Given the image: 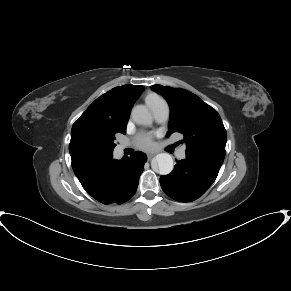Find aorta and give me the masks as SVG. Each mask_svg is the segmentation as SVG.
<instances>
[{"instance_id": "762f6f07", "label": "aorta", "mask_w": 291, "mask_h": 291, "mask_svg": "<svg viewBox=\"0 0 291 291\" xmlns=\"http://www.w3.org/2000/svg\"><path fill=\"white\" fill-rule=\"evenodd\" d=\"M132 119L139 125H150L152 123V116L149 110L143 105H138L133 108ZM155 161L161 175H167L172 172L174 168L173 158L169 153L156 155Z\"/></svg>"}]
</instances>
